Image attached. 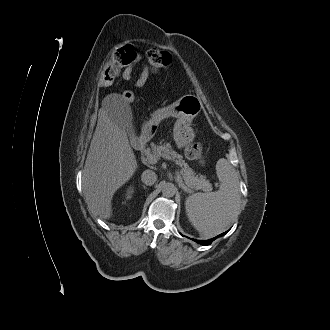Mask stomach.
Listing matches in <instances>:
<instances>
[{
  "label": "stomach",
  "instance_id": "0dacf381",
  "mask_svg": "<svg viewBox=\"0 0 330 330\" xmlns=\"http://www.w3.org/2000/svg\"><path fill=\"white\" fill-rule=\"evenodd\" d=\"M203 104L201 100L192 94L184 95L171 106L164 109L167 116L177 118L173 128V138L179 148L190 145L195 137L194 130L190 126L191 121L201 112ZM156 120H150L146 126V133H152V126Z\"/></svg>",
  "mask_w": 330,
  "mask_h": 330
}]
</instances>
